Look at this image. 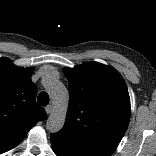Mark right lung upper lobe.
Wrapping results in <instances>:
<instances>
[{
	"instance_id": "1",
	"label": "right lung upper lobe",
	"mask_w": 156,
	"mask_h": 156,
	"mask_svg": "<svg viewBox=\"0 0 156 156\" xmlns=\"http://www.w3.org/2000/svg\"><path fill=\"white\" fill-rule=\"evenodd\" d=\"M33 71L0 59V154L17 146L37 122L47 117L35 101Z\"/></svg>"
}]
</instances>
